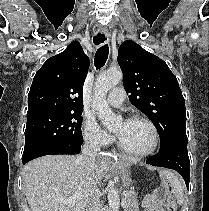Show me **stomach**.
<instances>
[{"label":"stomach","mask_w":209,"mask_h":211,"mask_svg":"<svg viewBox=\"0 0 209 211\" xmlns=\"http://www.w3.org/2000/svg\"><path fill=\"white\" fill-rule=\"evenodd\" d=\"M118 168H119L118 173L120 175L122 185L125 188L131 187L133 184V181L129 174V165L125 162L120 161V162H118Z\"/></svg>","instance_id":"0dacf381"}]
</instances>
